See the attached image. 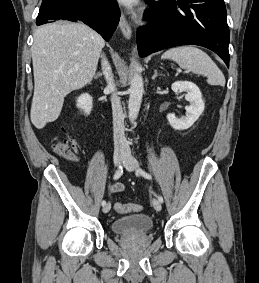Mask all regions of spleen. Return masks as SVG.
Here are the masks:
<instances>
[{
  "label": "spleen",
  "mask_w": 259,
  "mask_h": 283,
  "mask_svg": "<svg viewBox=\"0 0 259 283\" xmlns=\"http://www.w3.org/2000/svg\"><path fill=\"white\" fill-rule=\"evenodd\" d=\"M162 59L175 61L181 68L195 74L207 75L213 85H225V77L212 59L194 46H181L167 50Z\"/></svg>",
  "instance_id": "1"
}]
</instances>
